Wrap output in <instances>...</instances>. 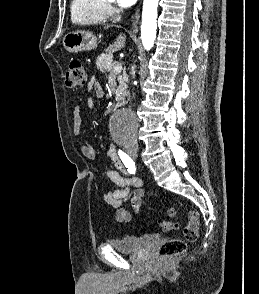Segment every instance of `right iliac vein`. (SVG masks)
I'll return each instance as SVG.
<instances>
[{"instance_id": "obj_1", "label": "right iliac vein", "mask_w": 259, "mask_h": 294, "mask_svg": "<svg viewBox=\"0 0 259 294\" xmlns=\"http://www.w3.org/2000/svg\"><path fill=\"white\" fill-rule=\"evenodd\" d=\"M128 153H129L130 156L136 157L138 155V149L137 148L130 149L128 151Z\"/></svg>"}]
</instances>
